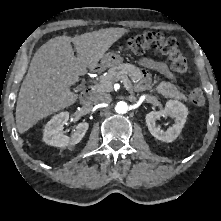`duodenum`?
I'll return each instance as SVG.
<instances>
[{"instance_id": "1", "label": "duodenum", "mask_w": 221, "mask_h": 221, "mask_svg": "<svg viewBox=\"0 0 221 221\" xmlns=\"http://www.w3.org/2000/svg\"><path fill=\"white\" fill-rule=\"evenodd\" d=\"M92 97V90L90 87H85L83 92H82V95H81V99L83 102H88Z\"/></svg>"}]
</instances>
